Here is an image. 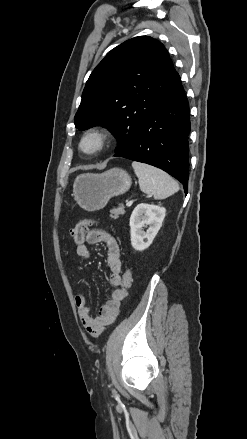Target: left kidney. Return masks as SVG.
I'll return each instance as SVG.
<instances>
[{
  "mask_svg": "<svg viewBox=\"0 0 247 439\" xmlns=\"http://www.w3.org/2000/svg\"><path fill=\"white\" fill-rule=\"evenodd\" d=\"M165 214L166 209L157 205L141 203L135 207L130 217L131 245L135 250L143 251L151 245ZM143 227L148 229L144 231Z\"/></svg>",
  "mask_w": 247,
  "mask_h": 439,
  "instance_id": "5707ae66",
  "label": "left kidney"
}]
</instances>
